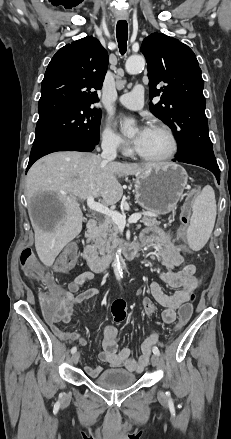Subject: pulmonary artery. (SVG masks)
<instances>
[{
  "mask_svg": "<svg viewBox=\"0 0 231 439\" xmlns=\"http://www.w3.org/2000/svg\"><path fill=\"white\" fill-rule=\"evenodd\" d=\"M118 101L120 104L131 110H139L144 104V87L136 85L132 91L122 94Z\"/></svg>",
  "mask_w": 231,
  "mask_h": 439,
  "instance_id": "obj_1",
  "label": "pulmonary artery"
}]
</instances>
